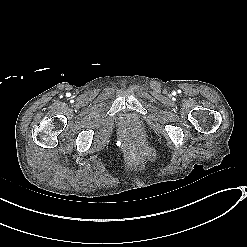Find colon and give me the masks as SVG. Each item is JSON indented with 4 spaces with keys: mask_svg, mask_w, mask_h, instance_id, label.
<instances>
[{
    "mask_svg": "<svg viewBox=\"0 0 247 247\" xmlns=\"http://www.w3.org/2000/svg\"><path fill=\"white\" fill-rule=\"evenodd\" d=\"M144 156L148 160H154L155 158V151L151 147H144Z\"/></svg>",
    "mask_w": 247,
    "mask_h": 247,
    "instance_id": "5ec220e1",
    "label": "colon"
}]
</instances>
